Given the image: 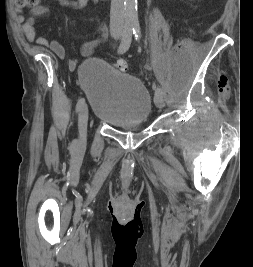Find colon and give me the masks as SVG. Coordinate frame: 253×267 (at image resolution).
<instances>
[{
  "label": "colon",
  "mask_w": 253,
  "mask_h": 267,
  "mask_svg": "<svg viewBox=\"0 0 253 267\" xmlns=\"http://www.w3.org/2000/svg\"><path fill=\"white\" fill-rule=\"evenodd\" d=\"M39 2H40V0H15V4L19 8L34 7V6L38 5ZM115 67L117 70L124 72L127 70L128 65H127V62L125 60L119 59L115 63Z\"/></svg>",
  "instance_id": "5ec220e1"
}]
</instances>
